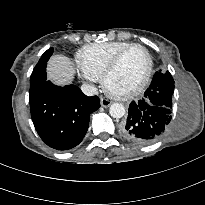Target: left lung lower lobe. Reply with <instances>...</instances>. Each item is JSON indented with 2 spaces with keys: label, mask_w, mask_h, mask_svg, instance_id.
<instances>
[{
  "label": "left lung lower lobe",
  "mask_w": 205,
  "mask_h": 205,
  "mask_svg": "<svg viewBox=\"0 0 205 205\" xmlns=\"http://www.w3.org/2000/svg\"><path fill=\"white\" fill-rule=\"evenodd\" d=\"M152 90L148 98L132 101L128 109V117L121 130L124 136L137 144H150L159 139L171 121L172 100L160 87Z\"/></svg>",
  "instance_id": "0a47b994"
}]
</instances>
